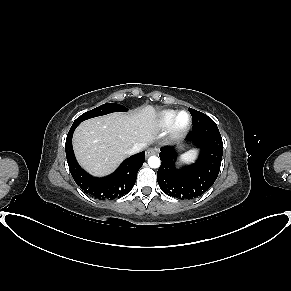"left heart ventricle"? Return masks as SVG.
I'll return each mask as SVG.
<instances>
[{
    "mask_svg": "<svg viewBox=\"0 0 291 291\" xmlns=\"http://www.w3.org/2000/svg\"><path fill=\"white\" fill-rule=\"evenodd\" d=\"M177 122L180 125H184L187 122V116L185 114H181L178 118H177Z\"/></svg>",
    "mask_w": 291,
    "mask_h": 291,
    "instance_id": "left-heart-ventricle-1",
    "label": "left heart ventricle"
}]
</instances>
